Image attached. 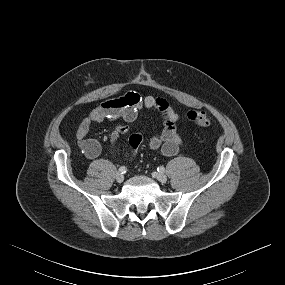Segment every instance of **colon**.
I'll return each instance as SVG.
<instances>
[{
  "mask_svg": "<svg viewBox=\"0 0 285 285\" xmlns=\"http://www.w3.org/2000/svg\"><path fill=\"white\" fill-rule=\"evenodd\" d=\"M189 120L197 126L206 127L210 124V118L204 111L192 110L188 112Z\"/></svg>",
  "mask_w": 285,
  "mask_h": 285,
  "instance_id": "obj_1",
  "label": "colon"
}]
</instances>
